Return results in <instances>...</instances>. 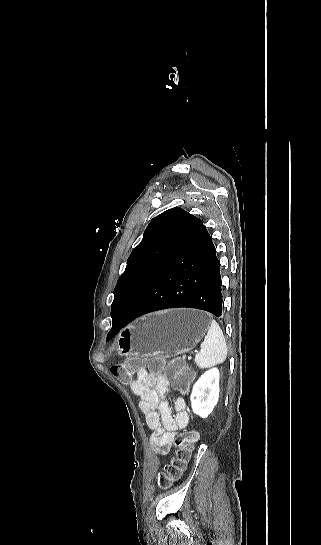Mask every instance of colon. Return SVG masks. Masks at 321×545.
Wrapping results in <instances>:
<instances>
[{"instance_id": "1", "label": "colon", "mask_w": 321, "mask_h": 545, "mask_svg": "<svg viewBox=\"0 0 321 545\" xmlns=\"http://www.w3.org/2000/svg\"><path fill=\"white\" fill-rule=\"evenodd\" d=\"M144 364L140 358H132L126 362L112 366V374L122 383L129 384L133 380L134 373ZM150 373L157 374L162 371L175 377V386L180 391L185 392L192 379V374L185 367L180 359H173L166 362L162 358L152 357L147 362ZM197 441L196 433H186L178 437L175 441V457L167 464L163 471L159 473L157 482L160 487H168L174 480L178 479L190 456L191 451Z\"/></svg>"}]
</instances>
